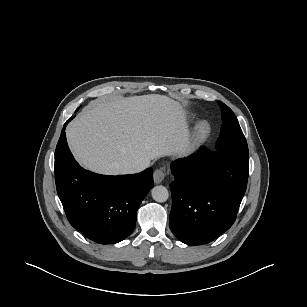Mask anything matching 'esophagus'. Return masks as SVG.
<instances>
[{"label": "esophagus", "mask_w": 307, "mask_h": 307, "mask_svg": "<svg viewBox=\"0 0 307 307\" xmlns=\"http://www.w3.org/2000/svg\"><path fill=\"white\" fill-rule=\"evenodd\" d=\"M164 177H165V173H164L163 168L156 169L153 174L154 183L160 184L163 181Z\"/></svg>", "instance_id": "obj_1"}]
</instances>
